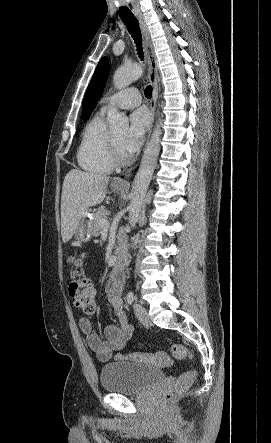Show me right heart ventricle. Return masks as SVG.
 Segmentation results:
<instances>
[{"mask_svg": "<svg viewBox=\"0 0 271 443\" xmlns=\"http://www.w3.org/2000/svg\"><path fill=\"white\" fill-rule=\"evenodd\" d=\"M110 137L103 113H95L83 129L77 151V162L83 170L94 174L113 171L116 161Z\"/></svg>", "mask_w": 271, "mask_h": 443, "instance_id": "1", "label": "right heart ventricle"}]
</instances>
